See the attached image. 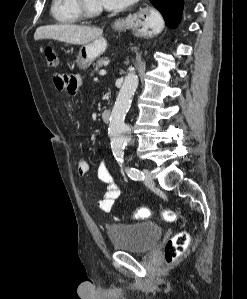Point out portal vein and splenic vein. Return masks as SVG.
<instances>
[{
	"instance_id": "obj_1",
	"label": "portal vein and splenic vein",
	"mask_w": 247,
	"mask_h": 299,
	"mask_svg": "<svg viewBox=\"0 0 247 299\" xmlns=\"http://www.w3.org/2000/svg\"><path fill=\"white\" fill-rule=\"evenodd\" d=\"M99 74H100V75H105V74H106V71H105V70H101V71L99 72Z\"/></svg>"
}]
</instances>
